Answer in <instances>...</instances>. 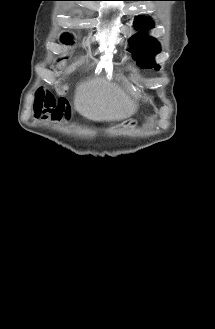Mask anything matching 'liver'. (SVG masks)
<instances>
[{
    "mask_svg": "<svg viewBox=\"0 0 215 329\" xmlns=\"http://www.w3.org/2000/svg\"><path fill=\"white\" fill-rule=\"evenodd\" d=\"M74 108L90 120L109 122L130 118L138 104L119 84L100 76L89 78L76 87Z\"/></svg>",
    "mask_w": 215,
    "mask_h": 329,
    "instance_id": "obj_1",
    "label": "liver"
}]
</instances>
